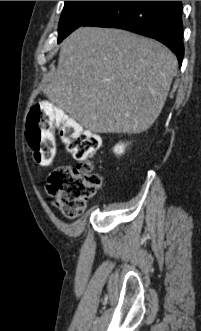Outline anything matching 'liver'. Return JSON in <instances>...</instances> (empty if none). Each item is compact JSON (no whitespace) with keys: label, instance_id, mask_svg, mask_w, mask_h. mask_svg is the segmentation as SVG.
<instances>
[{"label":"liver","instance_id":"1","mask_svg":"<svg viewBox=\"0 0 201 331\" xmlns=\"http://www.w3.org/2000/svg\"><path fill=\"white\" fill-rule=\"evenodd\" d=\"M176 71V56L156 40L80 27L62 42L44 93L94 133L138 134L160 115Z\"/></svg>","mask_w":201,"mask_h":331}]
</instances>
